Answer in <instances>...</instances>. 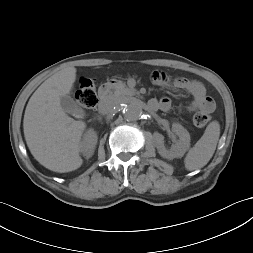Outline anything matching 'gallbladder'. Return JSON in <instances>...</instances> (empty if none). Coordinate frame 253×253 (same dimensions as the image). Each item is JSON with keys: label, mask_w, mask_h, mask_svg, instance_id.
<instances>
[{"label": "gallbladder", "mask_w": 253, "mask_h": 253, "mask_svg": "<svg viewBox=\"0 0 253 253\" xmlns=\"http://www.w3.org/2000/svg\"><path fill=\"white\" fill-rule=\"evenodd\" d=\"M60 105L64 112L69 114H75L77 112L78 106L74 99L68 95L60 97Z\"/></svg>", "instance_id": "obj_1"}]
</instances>
